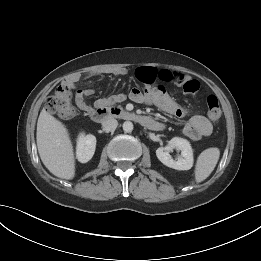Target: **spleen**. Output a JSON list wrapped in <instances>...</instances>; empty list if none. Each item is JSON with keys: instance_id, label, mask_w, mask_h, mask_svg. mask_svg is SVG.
I'll return each mask as SVG.
<instances>
[{"instance_id": "obj_1", "label": "spleen", "mask_w": 261, "mask_h": 261, "mask_svg": "<svg viewBox=\"0 0 261 261\" xmlns=\"http://www.w3.org/2000/svg\"><path fill=\"white\" fill-rule=\"evenodd\" d=\"M220 157V150L216 147L205 149L197 158L194 178L196 183L204 181L214 170Z\"/></svg>"}]
</instances>
